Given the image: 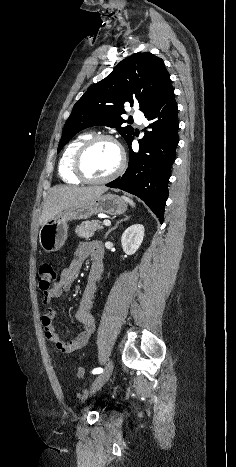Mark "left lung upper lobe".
<instances>
[{
  "label": "left lung upper lobe",
  "instance_id": "obj_1",
  "mask_svg": "<svg viewBox=\"0 0 236 467\" xmlns=\"http://www.w3.org/2000/svg\"><path fill=\"white\" fill-rule=\"evenodd\" d=\"M170 75L161 58L145 52L122 60L102 81L98 82L79 99L67 119L59 152L79 131L95 125L114 127L128 142L134 136L126 122L124 103L131 106L138 102L145 113L152 108L171 87Z\"/></svg>",
  "mask_w": 236,
  "mask_h": 467
}]
</instances>
